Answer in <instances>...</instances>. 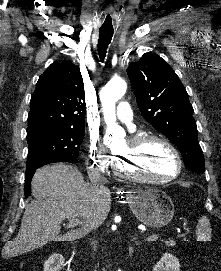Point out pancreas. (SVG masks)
<instances>
[{
    "label": "pancreas",
    "mask_w": 221,
    "mask_h": 271,
    "mask_svg": "<svg viewBox=\"0 0 221 271\" xmlns=\"http://www.w3.org/2000/svg\"><path fill=\"white\" fill-rule=\"evenodd\" d=\"M158 244L163 247H176V239H158Z\"/></svg>",
    "instance_id": "cf45deb5"
}]
</instances>
